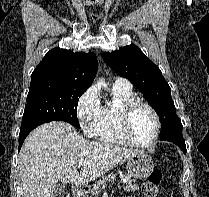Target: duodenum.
<instances>
[{
  "label": "duodenum",
  "instance_id": "1",
  "mask_svg": "<svg viewBox=\"0 0 209 197\" xmlns=\"http://www.w3.org/2000/svg\"><path fill=\"white\" fill-rule=\"evenodd\" d=\"M87 192V189L83 185H75L73 187V194L76 197H82Z\"/></svg>",
  "mask_w": 209,
  "mask_h": 197
}]
</instances>
